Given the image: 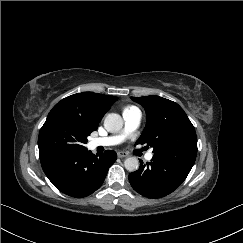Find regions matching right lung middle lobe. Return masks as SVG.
Masks as SVG:
<instances>
[{
  "mask_svg": "<svg viewBox=\"0 0 243 243\" xmlns=\"http://www.w3.org/2000/svg\"><path fill=\"white\" fill-rule=\"evenodd\" d=\"M91 132L66 111L53 108L39 133L40 159L85 150L84 144Z\"/></svg>",
  "mask_w": 243,
  "mask_h": 243,
  "instance_id": "dd1d6c3e",
  "label": "right lung middle lobe"
}]
</instances>
